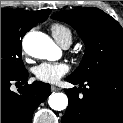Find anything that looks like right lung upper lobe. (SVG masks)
<instances>
[{
    "label": "right lung upper lobe",
    "mask_w": 123,
    "mask_h": 123,
    "mask_svg": "<svg viewBox=\"0 0 123 123\" xmlns=\"http://www.w3.org/2000/svg\"><path fill=\"white\" fill-rule=\"evenodd\" d=\"M11 10H14L21 19L28 18V19H33L37 22L45 21L51 12L49 9H44L40 11H24V10H17V9H11Z\"/></svg>",
    "instance_id": "cb5924a9"
}]
</instances>
